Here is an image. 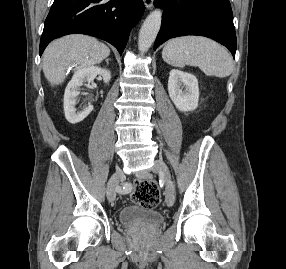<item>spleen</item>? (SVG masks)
<instances>
[{
	"label": "spleen",
	"instance_id": "1",
	"mask_svg": "<svg viewBox=\"0 0 286 269\" xmlns=\"http://www.w3.org/2000/svg\"><path fill=\"white\" fill-rule=\"evenodd\" d=\"M163 60L175 67H199L207 76L226 77L234 68L228 51L206 37L185 36L171 39L162 51Z\"/></svg>",
	"mask_w": 286,
	"mask_h": 269
}]
</instances>
